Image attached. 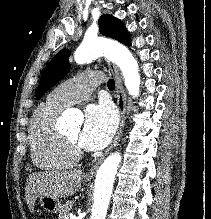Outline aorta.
<instances>
[{"mask_svg":"<svg viewBox=\"0 0 211 219\" xmlns=\"http://www.w3.org/2000/svg\"><path fill=\"white\" fill-rule=\"evenodd\" d=\"M102 55H105L121 69L129 94L133 97L138 96L140 87L138 63L126 47L119 44H109L99 39L84 40L76 49L74 59L76 63L83 64ZM65 119H71L78 125L82 122L80 115L71 112L66 113ZM120 160V154L114 153L108 156L99 167L95 179L94 203L90 219L106 218Z\"/></svg>","mask_w":211,"mask_h":219,"instance_id":"obj_1","label":"aorta"}]
</instances>
